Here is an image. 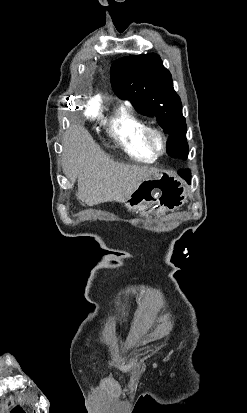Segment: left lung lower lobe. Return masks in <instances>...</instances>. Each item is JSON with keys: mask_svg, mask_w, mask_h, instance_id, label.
<instances>
[{"mask_svg": "<svg viewBox=\"0 0 247 413\" xmlns=\"http://www.w3.org/2000/svg\"><path fill=\"white\" fill-rule=\"evenodd\" d=\"M181 177H183L188 183L191 182V173L189 170H181L178 172Z\"/></svg>", "mask_w": 247, "mask_h": 413, "instance_id": "left-lung-lower-lobe-1", "label": "left lung lower lobe"}]
</instances>
